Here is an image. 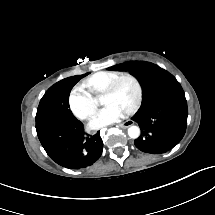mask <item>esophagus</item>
Instances as JSON below:
<instances>
[{
  "label": "esophagus",
  "mask_w": 215,
  "mask_h": 215,
  "mask_svg": "<svg viewBox=\"0 0 215 215\" xmlns=\"http://www.w3.org/2000/svg\"><path fill=\"white\" fill-rule=\"evenodd\" d=\"M133 124H134V121L131 120V119H129V120H127V121L121 123L119 126H120L121 128H127V127L132 126Z\"/></svg>",
  "instance_id": "1"
}]
</instances>
